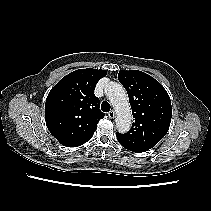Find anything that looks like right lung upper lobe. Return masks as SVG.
Masks as SVG:
<instances>
[{
  "label": "right lung upper lobe",
  "mask_w": 211,
  "mask_h": 211,
  "mask_svg": "<svg viewBox=\"0 0 211 211\" xmlns=\"http://www.w3.org/2000/svg\"><path fill=\"white\" fill-rule=\"evenodd\" d=\"M106 74V70L79 69L62 78L49 92L46 125L63 146L77 147L92 138L99 120L105 116L94 90Z\"/></svg>",
  "instance_id": "obj_1"
}]
</instances>
